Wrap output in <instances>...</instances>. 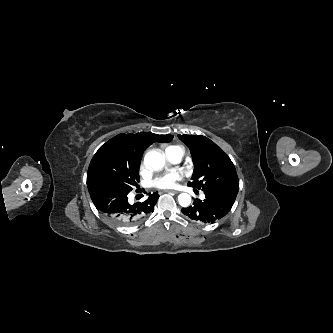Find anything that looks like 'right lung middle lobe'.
Here are the masks:
<instances>
[{
	"label": "right lung middle lobe",
	"mask_w": 333,
	"mask_h": 333,
	"mask_svg": "<svg viewBox=\"0 0 333 333\" xmlns=\"http://www.w3.org/2000/svg\"><path fill=\"white\" fill-rule=\"evenodd\" d=\"M139 165L122 148L104 144L90 162L87 183L92 180H104L133 190L138 187Z\"/></svg>",
	"instance_id": "right-lung-middle-lobe-1"
}]
</instances>
